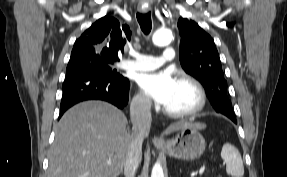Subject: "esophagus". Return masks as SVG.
Returning <instances> with one entry per match:
<instances>
[{"instance_id": "1", "label": "esophagus", "mask_w": 287, "mask_h": 177, "mask_svg": "<svg viewBox=\"0 0 287 177\" xmlns=\"http://www.w3.org/2000/svg\"><path fill=\"white\" fill-rule=\"evenodd\" d=\"M144 1H145V0H141V1H140L139 6H138V10H139V12L146 14V13H148V12L151 11V8L148 7V6H147V7H144V6L142 5ZM152 140H153V143H154L155 145H157V146L166 145V142H165V140H164L162 137L154 136Z\"/></svg>"}]
</instances>
